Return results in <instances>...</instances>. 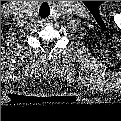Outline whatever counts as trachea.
<instances>
[{"label":"trachea","instance_id":"3493384b","mask_svg":"<svg viewBox=\"0 0 121 121\" xmlns=\"http://www.w3.org/2000/svg\"><path fill=\"white\" fill-rule=\"evenodd\" d=\"M51 13L50 6L47 2L42 3V5L39 8V15L42 18L49 17Z\"/></svg>","mask_w":121,"mask_h":121}]
</instances>
